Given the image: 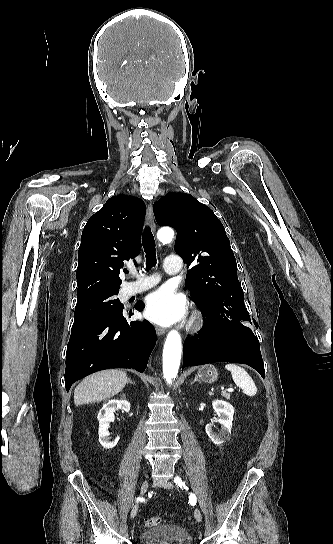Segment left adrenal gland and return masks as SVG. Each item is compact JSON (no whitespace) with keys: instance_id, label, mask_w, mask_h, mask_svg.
I'll return each mask as SVG.
<instances>
[{"instance_id":"left-adrenal-gland-1","label":"left adrenal gland","mask_w":333,"mask_h":544,"mask_svg":"<svg viewBox=\"0 0 333 544\" xmlns=\"http://www.w3.org/2000/svg\"><path fill=\"white\" fill-rule=\"evenodd\" d=\"M196 381L200 382V381L198 380V376L195 377V379L193 380V382H192L191 384H194Z\"/></svg>"}]
</instances>
